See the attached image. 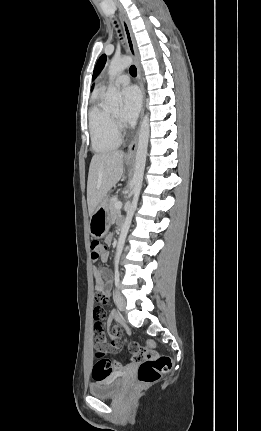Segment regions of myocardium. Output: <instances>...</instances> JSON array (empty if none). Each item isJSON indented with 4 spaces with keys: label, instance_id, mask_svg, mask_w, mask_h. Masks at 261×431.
Wrapping results in <instances>:
<instances>
[{
    "label": "myocardium",
    "instance_id": "myocardium-1",
    "mask_svg": "<svg viewBox=\"0 0 261 431\" xmlns=\"http://www.w3.org/2000/svg\"><path fill=\"white\" fill-rule=\"evenodd\" d=\"M111 118H112V120H113L114 123L117 121V117L116 116L111 115Z\"/></svg>",
    "mask_w": 261,
    "mask_h": 431
}]
</instances>
